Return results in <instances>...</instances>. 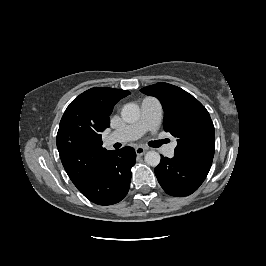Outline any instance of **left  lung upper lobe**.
Here are the masks:
<instances>
[{
    "label": "left lung upper lobe",
    "mask_w": 266,
    "mask_h": 266,
    "mask_svg": "<svg viewBox=\"0 0 266 266\" xmlns=\"http://www.w3.org/2000/svg\"><path fill=\"white\" fill-rule=\"evenodd\" d=\"M141 92L161 102L165 113L164 130L178 138L175 156L213 160L214 125L208 111L197 99L168 83L150 85Z\"/></svg>",
    "instance_id": "5c2ea615"
}]
</instances>
